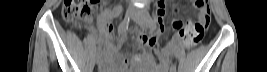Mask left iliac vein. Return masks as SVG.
<instances>
[{"label": "left iliac vein", "mask_w": 267, "mask_h": 72, "mask_svg": "<svg viewBox=\"0 0 267 72\" xmlns=\"http://www.w3.org/2000/svg\"><path fill=\"white\" fill-rule=\"evenodd\" d=\"M138 19L140 21V25L143 29H146L148 27L149 22V13L146 8L142 9L138 14ZM171 72H176V69H171Z\"/></svg>", "instance_id": "1"}]
</instances>
